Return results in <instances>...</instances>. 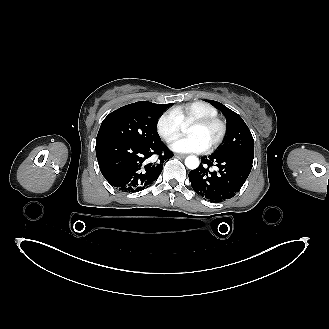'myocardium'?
<instances>
[{"label":"myocardium","instance_id":"1","mask_svg":"<svg viewBox=\"0 0 329 329\" xmlns=\"http://www.w3.org/2000/svg\"><path fill=\"white\" fill-rule=\"evenodd\" d=\"M190 125H198V126H208V125H217L219 128V133L217 138L213 141V143L207 147V151H213L220 146L227 134V124L221 118L215 117H200L192 120Z\"/></svg>","mask_w":329,"mask_h":329}]
</instances>
